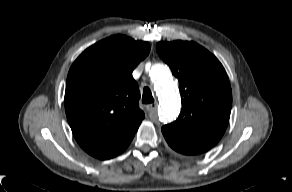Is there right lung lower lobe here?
I'll list each match as a JSON object with an SVG mask.
<instances>
[{
	"label": "right lung lower lobe",
	"instance_id": "right-lung-lower-lobe-1",
	"mask_svg": "<svg viewBox=\"0 0 292 192\" xmlns=\"http://www.w3.org/2000/svg\"><path fill=\"white\" fill-rule=\"evenodd\" d=\"M134 134L114 143L84 144L81 145V147L93 157L98 159H110L122 153L129 146L131 140L134 137Z\"/></svg>",
	"mask_w": 292,
	"mask_h": 192
}]
</instances>
